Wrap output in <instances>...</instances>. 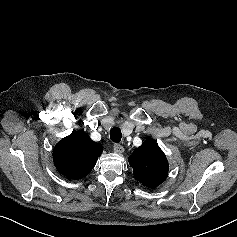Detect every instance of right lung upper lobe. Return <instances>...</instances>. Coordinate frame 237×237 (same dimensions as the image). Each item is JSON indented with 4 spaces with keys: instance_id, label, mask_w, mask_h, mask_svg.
Instances as JSON below:
<instances>
[{
    "instance_id": "obj_1",
    "label": "right lung upper lobe",
    "mask_w": 237,
    "mask_h": 237,
    "mask_svg": "<svg viewBox=\"0 0 237 237\" xmlns=\"http://www.w3.org/2000/svg\"><path fill=\"white\" fill-rule=\"evenodd\" d=\"M102 146L84 132H73L58 142L53 150L56 169L70 179L85 177L95 166Z\"/></svg>"
}]
</instances>
